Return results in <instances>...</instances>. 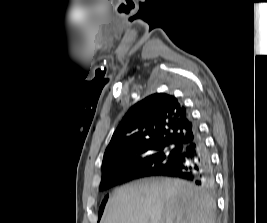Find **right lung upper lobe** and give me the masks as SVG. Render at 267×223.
I'll use <instances>...</instances> for the list:
<instances>
[{
  "label": "right lung upper lobe",
  "instance_id": "right-lung-upper-lobe-1",
  "mask_svg": "<svg viewBox=\"0 0 267 223\" xmlns=\"http://www.w3.org/2000/svg\"><path fill=\"white\" fill-rule=\"evenodd\" d=\"M197 137L189 112L173 95L156 93L129 109L106 148L102 181L136 172L139 162L164 147L181 151Z\"/></svg>",
  "mask_w": 267,
  "mask_h": 223
}]
</instances>
